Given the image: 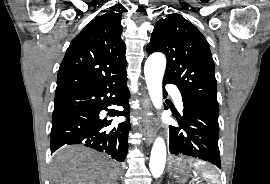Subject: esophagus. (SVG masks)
<instances>
[{"instance_id":"34e87169","label":"esophagus","mask_w":270,"mask_h":184,"mask_svg":"<svg viewBox=\"0 0 270 184\" xmlns=\"http://www.w3.org/2000/svg\"><path fill=\"white\" fill-rule=\"evenodd\" d=\"M151 109L152 105L150 99L147 95H144V98L142 100V111L144 114H146L150 112ZM142 131L146 137V143L149 146L152 143L155 135L154 123L150 117H145Z\"/></svg>"}]
</instances>
